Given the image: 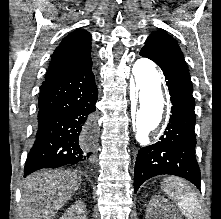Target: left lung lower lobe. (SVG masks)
<instances>
[{
    "mask_svg": "<svg viewBox=\"0 0 221 219\" xmlns=\"http://www.w3.org/2000/svg\"><path fill=\"white\" fill-rule=\"evenodd\" d=\"M140 55L162 69L171 95L169 123L157 143L141 148L135 164L134 190L147 179L170 174L183 177L200 189V169L195 158L196 137L193 86L187 69L172 59L142 48Z\"/></svg>",
    "mask_w": 221,
    "mask_h": 219,
    "instance_id": "1",
    "label": "left lung lower lobe"
}]
</instances>
